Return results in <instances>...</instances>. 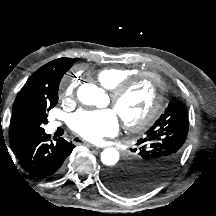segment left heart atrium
<instances>
[{
  "label": "left heart atrium",
  "mask_w": 216,
  "mask_h": 216,
  "mask_svg": "<svg viewBox=\"0 0 216 216\" xmlns=\"http://www.w3.org/2000/svg\"><path fill=\"white\" fill-rule=\"evenodd\" d=\"M70 128L89 141H98L117 133L119 120L112 109L81 110L69 119Z\"/></svg>",
  "instance_id": "1"
}]
</instances>
